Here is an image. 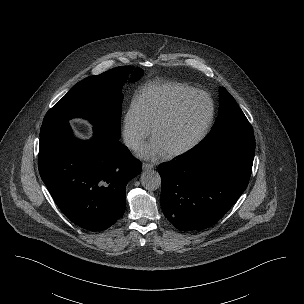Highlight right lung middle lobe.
I'll return each mask as SVG.
<instances>
[{
    "label": "right lung middle lobe",
    "mask_w": 304,
    "mask_h": 304,
    "mask_svg": "<svg viewBox=\"0 0 304 304\" xmlns=\"http://www.w3.org/2000/svg\"><path fill=\"white\" fill-rule=\"evenodd\" d=\"M133 69V66H121L83 79L47 112L42 127L81 117L119 139L124 97L121 89L128 75L133 82L142 76L140 68Z\"/></svg>",
    "instance_id": "1"
}]
</instances>
